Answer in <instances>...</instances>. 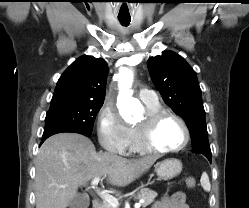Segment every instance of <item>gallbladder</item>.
Listing matches in <instances>:
<instances>
[{"instance_id":"gallbladder-1","label":"gallbladder","mask_w":249,"mask_h":208,"mask_svg":"<svg viewBox=\"0 0 249 208\" xmlns=\"http://www.w3.org/2000/svg\"><path fill=\"white\" fill-rule=\"evenodd\" d=\"M89 203L88 195L79 193L70 201L69 208H88Z\"/></svg>"}]
</instances>
